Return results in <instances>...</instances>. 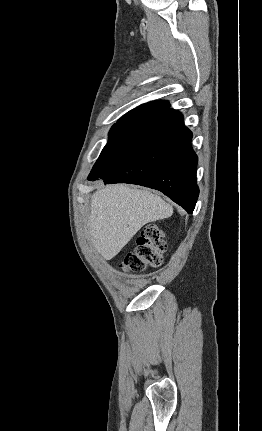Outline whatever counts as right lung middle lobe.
Here are the masks:
<instances>
[{"instance_id":"obj_1","label":"right lung middle lobe","mask_w":262,"mask_h":431,"mask_svg":"<svg viewBox=\"0 0 262 431\" xmlns=\"http://www.w3.org/2000/svg\"><path fill=\"white\" fill-rule=\"evenodd\" d=\"M128 126L114 125L109 133V139L102 150L100 157L108 150V148L128 129ZM99 157V158H100Z\"/></svg>"}]
</instances>
